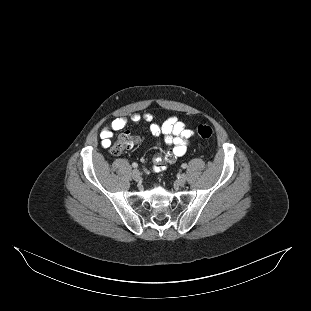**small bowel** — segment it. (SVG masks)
Here are the masks:
<instances>
[{
  "label": "small bowel",
  "instance_id": "1",
  "mask_svg": "<svg viewBox=\"0 0 311 311\" xmlns=\"http://www.w3.org/2000/svg\"><path fill=\"white\" fill-rule=\"evenodd\" d=\"M141 120H150L149 115H133L132 121L138 123ZM127 125V119L124 117H118L114 119L109 126L104 127L99 137L103 147L108 148L111 145V140L114 131H119ZM150 130L154 135H164V142L170 148L165 155H156L154 157L155 171L162 170L163 162L173 163L177 158L182 157L189 148L190 138L193 135L191 129H189L182 121L177 117L172 116L164 121L162 124L152 123L150 125Z\"/></svg>",
  "mask_w": 311,
  "mask_h": 311
}]
</instances>
